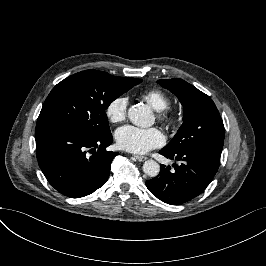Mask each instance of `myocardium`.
Returning <instances> with one entry per match:
<instances>
[{
	"mask_svg": "<svg viewBox=\"0 0 266 266\" xmlns=\"http://www.w3.org/2000/svg\"><path fill=\"white\" fill-rule=\"evenodd\" d=\"M157 113L159 120L165 124H170L174 121L175 116L170 108L158 110Z\"/></svg>",
	"mask_w": 266,
	"mask_h": 266,
	"instance_id": "obj_1",
	"label": "myocardium"
}]
</instances>
